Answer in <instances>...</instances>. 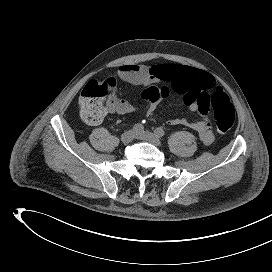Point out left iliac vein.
I'll return each mask as SVG.
<instances>
[{
    "label": "left iliac vein",
    "instance_id": "obj_1",
    "mask_svg": "<svg viewBox=\"0 0 272 272\" xmlns=\"http://www.w3.org/2000/svg\"><path fill=\"white\" fill-rule=\"evenodd\" d=\"M136 138L147 141L155 146H161L162 143L159 139L158 136H156L155 134L148 132V131H142V132H138L136 133Z\"/></svg>",
    "mask_w": 272,
    "mask_h": 272
}]
</instances>
